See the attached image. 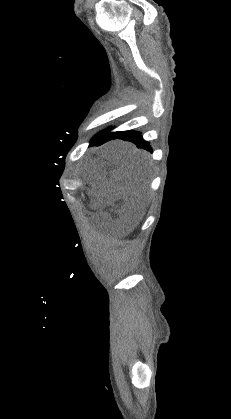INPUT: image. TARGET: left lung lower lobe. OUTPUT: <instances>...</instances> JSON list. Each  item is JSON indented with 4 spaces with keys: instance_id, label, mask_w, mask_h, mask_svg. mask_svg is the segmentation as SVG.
Returning <instances> with one entry per match:
<instances>
[{
    "instance_id": "1",
    "label": "left lung lower lobe",
    "mask_w": 231,
    "mask_h": 419,
    "mask_svg": "<svg viewBox=\"0 0 231 419\" xmlns=\"http://www.w3.org/2000/svg\"><path fill=\"white\" fill-rule=\"evenodd\" d=\"M114 139H122L125 141H129L134 143L138 148H143L145 150H148L150 152H152V148L150 146V144L143 140L142 135L140 134V132L137 131H117V132H112L109 133L108 131H103L102 133H100L99 135L95 136L91 142L90 145H96V146H100L110 140H114Z\"/></svg>"
}]
</instances>
